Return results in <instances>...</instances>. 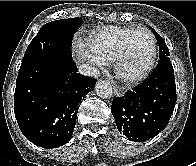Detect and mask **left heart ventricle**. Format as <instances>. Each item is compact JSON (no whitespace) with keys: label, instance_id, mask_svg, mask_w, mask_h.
Listing matches in <instances>:
<instances>
[{"label":"left heart ventricle","instance_id":"1","mask_svg":"<svg viewBox=\"0 0 196 166\" xmlns=\"http://www.w3.org/2000/svg\"><path fill=\"white\" fill-rule=\"evenodd\" d=\"M151 55V42L144 32L135 33L130 42L129 50L122 62V73L133 75L141 71L148 63Z\"/></svg>","mask_w":196,"mask_h":166}]
</instances>
